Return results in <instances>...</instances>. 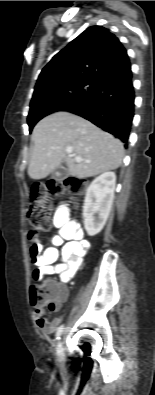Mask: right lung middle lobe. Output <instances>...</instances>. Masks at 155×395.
<instances>
[{
    "label": "right lung middle lobe",
    "mask_w": 155,
    "mask_h": 395,
    "mask_svg": "<svg viewBox=\"0 0 155 395\" xmlns=\"http://www.w3.org/2000/svg\"><path fill=\"white\" fill-rule=\"evenodd\" d=\"M99 85L100 81L81 79L52 85L34 93L27 119L30 131L43 117L77 103Z\"/></svg>",
    "instance_id": "right-lung-middle-lobe-1"
}]
</instances>
